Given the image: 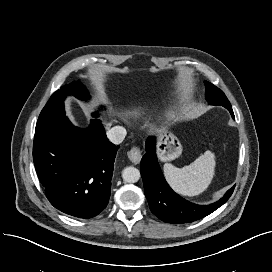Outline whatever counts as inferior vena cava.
<instances>
[{"label":"inferior vena cava","instance_id":"inferior-vena-cava-1","mask_svg":"<svg viewBox=\"0 0 272 272\" xmlns=\"http://www.w3.org/2000/svg\"><path fill=\"white\" fill-rule=\"evenodd\" d=\"M126 129L122 126H115L107 132L108 139L114 144H120L126 137Z\"/></svg>","mask_w":272,"mask_h":272}]
</instances>
